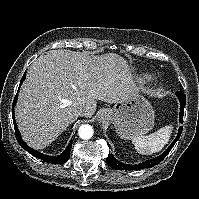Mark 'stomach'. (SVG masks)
<instances>
[{"label":"stomach","mask_w":199,"mask_h":199,"mask_svg":"<svg viewBox=\"0 0 199 199\" xmlns=\"http://www.w3.org/2000/svg\"><path fill=\"white\" fill-rule=\"evenodd\" d=\"M154 111L146 96L136 91L103 110L101 119L114 125L122 139H133L148 133L154 126Z\"/></svg>","instance_id":"obj_1"}]
</instances>
